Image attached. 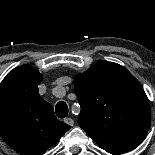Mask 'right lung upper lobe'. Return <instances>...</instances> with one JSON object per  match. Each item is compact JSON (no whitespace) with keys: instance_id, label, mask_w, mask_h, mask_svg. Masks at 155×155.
Returning <instances> with one entry per match:
<instances>
[{"instance_id":"1","label":"right lung upper lobe","mask_w":155,"mask_h":155,"mask_svg":"<svg viewBox=\"0 0 155 155\" xmlns=\"http://www.w3.org/2000/svg\"><path fill=\"white\" fill-rule=\"evenodd\" d=\"M41 79L38 70L22 65L0 84V135L20 155H42L70 129L39 96Z\"/></svg>"}]
</instances>
